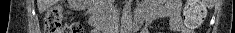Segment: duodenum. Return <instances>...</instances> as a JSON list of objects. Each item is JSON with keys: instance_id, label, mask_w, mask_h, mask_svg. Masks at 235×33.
Here are the masks:
<instances>
[{"instance_id": "obj_1", "label": "duodenum", "mask_w": 235, "mask_h": 33, "mask_svg": "<svg viewBox=\"0 0 235 33\" xmlns=\"http://www.w3.org/2000/svg\"><path fill=\"white\" fill-rule=\"evenodd\" d=\"M87 6V11L90 13V19L89 23L93 27V33H99V32H109L112 30L116 25L113 23H104L102 22L99 17L95 14L93 8H92V2L91 1H85ZM143 16L136 14L133 23L132 28L136 30L142 23Z\"/></svg>"}]
</instances>
